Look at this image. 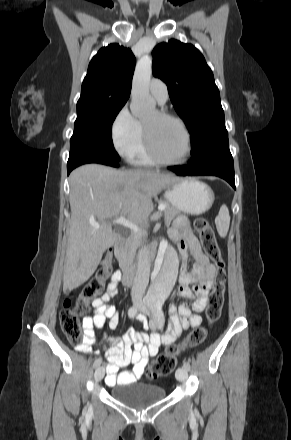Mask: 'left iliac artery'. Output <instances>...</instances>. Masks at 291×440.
Listing matches in <instances>:
<instances>
[{
    "label": "left iliac artery",
    "mask_w": 291,
    "mask_h": 440,
    "mask_svg": "<svg viewBox=\"0 0 291 440\" xmlns=\"http://www.w3.org/2000/svg\"><path fill=\"white\" fill-rule=\"evenodd\" d=\"M156 317H157V324H158V325H163V319L161 318V316H160V314H159L158 311H157ZM183 366H184V368H186L187 370L190 369V363H189L188 361H185L184 364H183Z\"/></svg>",
    "instance_id": "44dca946"
}]
</instances>
